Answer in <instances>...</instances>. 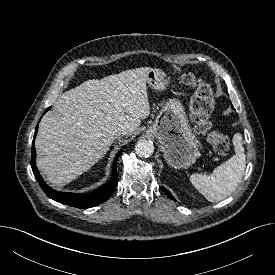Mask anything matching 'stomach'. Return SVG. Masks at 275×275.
I'll return each instance as SVG.
<instances>
[{"label":"stomach","mask_w":275,"mask_h":275,"mask_svg":"<svg viewBox=\"0 0 275 275\" xmlns=\"http://www.w3.org/2000/svg\"><path fill=\"white\" fill-rule=\"evenodd\" d=\"M147 83L155 90H164L169 80L161 69L155 68L149 71ZM148 132L158 139L171 167L188 168L199 157V142L178 99L166 101Z\"/></svg>","instance_id":"0dacf381"}]
</instances>
